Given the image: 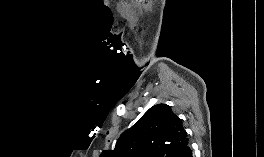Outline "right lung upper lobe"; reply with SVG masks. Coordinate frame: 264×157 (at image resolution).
Segmentation results:
<instances>
[{"label":"right lung upper lobe","mask_w":264,"mask_h":157,"mask_svg":"<svg viewBox=\"0 0 264 157\" xmlns=\"http://www.w3.org/2000/svg\"><path fill=\"white\" fill-rule=\"evenodd\" d=\"M188 145L182 121L167 104L151 107L122 133L109 157H176Z\"/></svg>","instance_id":"obj_1"}]
</instances>
